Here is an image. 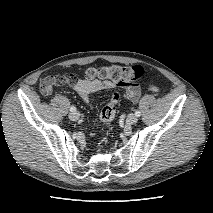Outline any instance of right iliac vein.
Segmentation results:
<instances>
[{
    "label": "right iliac vein",
    "instance_id": "1",
    "mask_svg": "<svg viewBox=\"0 0 213 213\" xmlns=\"http://www.w3.org/2000/svg\"><path fill=\"white\" fill-rule=\"evenodd\" d=\"M80 115L78 112H72L69 114V119L72 121H77L79 119Z\"/></svg>",
    "mask_w": 213,
    "mask_h": 213
}]
</instances>
